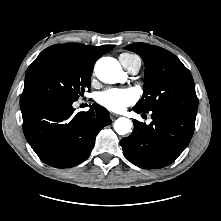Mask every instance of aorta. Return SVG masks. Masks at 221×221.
Listing matches in <instances>:
<instances>
[{"label":"aorta","mask_w":221,"mask_h":221,"mask_svg":"<svg viewBox=\"0 0 221 221\" xmlns=\"http://www.w3.org/2000/svg\"><path fill=\"white\" fill-rule=\"evenodd\" d=\"M95 74L104 83H116L123 77V71L118 61L111 57L99 59L95 64ZM132 122L125 118H118L114 123L115 131L120 135H125L131 131Z\"/></svg>","instance_id":"1"}]
</instances>
